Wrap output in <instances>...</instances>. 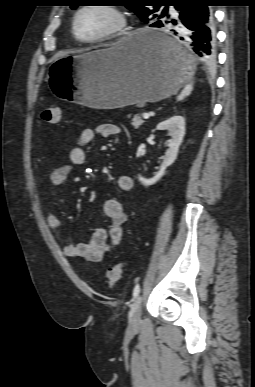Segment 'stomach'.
<instances>
[{
  "instance_id": "obj_1",
  "label": "stomach",
  "mask_w": 255,
  "mask_h": 387,
  "mask_svg": "<svg viewBox=\"0 0 255 387\" xmlns=\"http://www.w3.org/2000/svg\"><path fill=\"white\" fill-rule=\"evenodd\" d=\"M140 29L108 48L57 58L49 67V83L64 104L113 109L156 102L177 93L190 81L195 65L184 48L180 60L168 59L143 41ZM159 32V31H153Z\"/></svg>"
}]
</instances>
